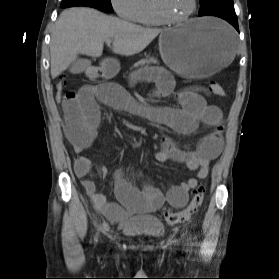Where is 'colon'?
<instances>
[{
  "label": "colon",
  "mask_w": 279,
  "mask_h": 279,
  "mask_svg": "<svg viewBox=\"0 0 279 279\" xmlns=\"http://www.w3.org/2000/svg\"><path fill=\"white\" fill-rule=\"evenodd\" d=\"M66 87H67V82L64 79H61L57 83L55 94H56V98L59 101H62L64 96L67 94L68 91L66 90ZM208 91L215 95L224 94L223 87L216 82H212L209 84ZM204 194H205L204 186L199 185L193 190L190 202L183 210L180 211H174L170 209L164 210V217L166 222L168 224L175 225L190 219L200 208L204 199Z\"/></svg>",
  "instance_id": "1"
}]
</instances>
